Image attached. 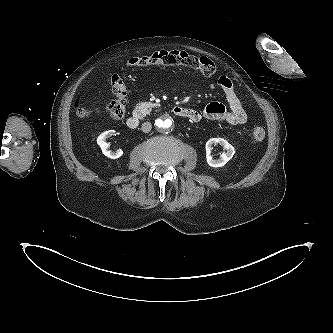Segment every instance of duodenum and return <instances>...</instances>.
<instances>
[{
	"mask_svg": "<svg viewBox=\"0 0 333 333\" xmlns=\"http://www.w3.org/2000/svg\"><path fill=\"white\" fill-rule=\"evenodd\" d=\"M173 112L174 114L178 115V116H183L186 112L185 108L182 106H175L173 108ZM140 123V119L138 117V115H131L130 117H128L126 124L130 129H135L139 126Z\"/></svg>",
	"mask_w": 333,
	"mask_h": 333,
	"instance_id": "duodenum-1",
	"label": "duodenum"
}]
</instances>
